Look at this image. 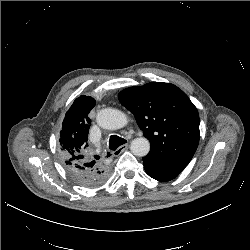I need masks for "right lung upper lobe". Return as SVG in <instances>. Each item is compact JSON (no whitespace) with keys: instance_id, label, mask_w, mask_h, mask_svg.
<instances>
[{"instance_id":"1","label":"right lung upper lobe","mask_w":250,"mask_h":250,"mask_svg":"<svg viewBox=\"0 0 250 250\" xmlns=\"http://www.w3.org/2000/svg\"><path fill=\"white\" fill-rule=\"evenodd\" d=\"M95 106V100L82 95L75 99L65 115L60 131V151L64 166L76 171L110 172L109 165L95 155L87 158L88 132L91 120L88 114ZM100 173V172H99Z\"/></svg>"}]
</instances>
